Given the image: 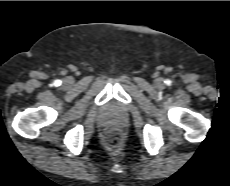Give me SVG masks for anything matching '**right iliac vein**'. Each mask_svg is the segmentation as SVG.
I'll list each match as a JSON object with an SVG mask.
<instances>
[{
    "label": "right iliac vein",
    "mask_w": 230,
    "mask_h": 186,
    "mask_svg": "<svg viewBox=\"0 0 230 186\" xmlns=\"http://www.w3.org/2000/svg\"><path fill=\"white\" fill-rule=\"evenodd\" d=\"M64 85H70L72 83V80L70 78L64 80Z\"/></svg>",
    "instance_id": "obj_1"
}]
</instances>
